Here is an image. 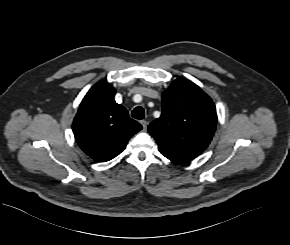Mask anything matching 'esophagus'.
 <instances>
[{
  "label": "esophagus",
  "mask_w": 290,
  "mask_h": 245,
  "mask_svg": "<svg viewBox=\"0 0 290 245\" xmlns=\"http://www.w3.org/2000/svg\"><path fill=\"white\" fill-rule=\"evenodd\" d=\"M140 123H141V125L143 127V130L146 131L147 125H148L147 121L146 120H141Z\"/></svg>",
  "instance_id": "34e87169"
}]
</instances>
